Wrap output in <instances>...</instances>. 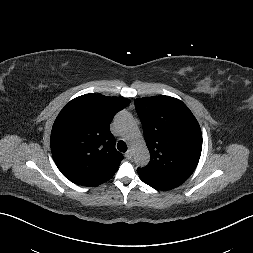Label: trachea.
Listing matches in <instances>:
<instances>
[{
    "label": "trachea",
    "instance_id": "trachea-1",
    "mask_svg": "<svg viewBox=\"0 0 253 253\" xmlns=\"http://www.w3.org/2000/svg\"><path fill=\"white\" fill-rule=\"evenodd\" d=\"M117 148L120 152H126L127 151V145L124 141H119L117 144Z\"/></svg>",
    "mask_w": 253,
    "mask_h": 253
}]
</instances>
